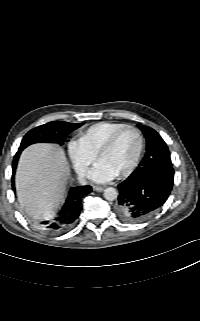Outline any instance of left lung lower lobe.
I'll use <instances>...</instances> for the list:
<instances>
[{
	"instance_id": "left-lung-lower-lobe-1",
	"label": "left lung lower lobe",
	"mask_w": 200,
	"mask_h": 321,
	"mask_svg": "<svg viewBox=\"0 0 200 321\" xmlns=\"http://www.w3.org/2000/svg\"><path fill=\"white\" fill-rule=\"evenodd\" d=\"M173 183L172 165L138 167L118 185L119 196L115 210L119 219L126 223L146 220L165 203Z\"/></svg>"
}]
</instances>
